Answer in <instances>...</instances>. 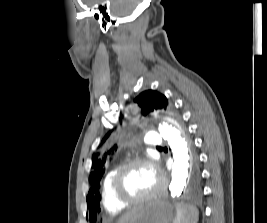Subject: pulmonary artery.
I'll return each instance as SVG.
<instances>
[{
	"label": "pulmonary artery",
	"instance_id": "e3ab8cb5",
	"mask_svg": "<svg viewBox=\"0 0 267 223\" xmlns=\"http://www.w3.org/2000/svg\"><path fill=\"white\" fill-rule=\"evenodd\" d=\"M145 142L147 145L154 146V147L160 146L162 144L160 137L156 134H148L145 137Z\"/></svg>",
	"mask_w": 267,
	"mask_h": 223
}]
</instances>
